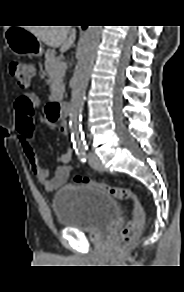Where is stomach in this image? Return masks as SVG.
Wrapping results in <instances>:
<instances>
[{
	"mask_svg": "<svg viewBox=\"0 0 184 292\" xmlns=\"http://www.w3.org/2000/svg\"><path fill=\"white\" fill-rule=\"evenodd\" d=\"M6 44L15 55L40 57L43 47L38 38L23 27H9L5 33Z\"/></svg>",
	"mask_w": 184,
	"mask_h": 292,
	"instance_id": "0dacf381",
	"label": "stomach"
}]
</instances>
